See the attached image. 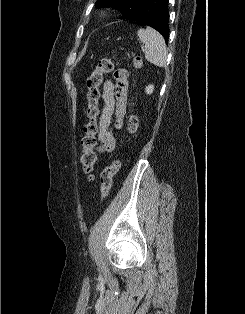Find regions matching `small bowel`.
Segmentation results:
<instances>
[{
    "instance_id": "c3829d8e",
    "label": "small bowel",
    "mask_w": 245,
    "mask_h": 314,
    "mask_svg": "<svg viewBox=\"0 0 245 314\" xmlns=\"http://www.w3.org/2000/svg\"><path fill=\"white\" fill-rule=\"evenodd\" d=\"M129 72L118 69L114 72L113 79L103 83L104 107L98 120V151L109 153L115 150L117 138L110 125L117 130L124 126L127 105Z\"/></svg>"
}]
</instances>
